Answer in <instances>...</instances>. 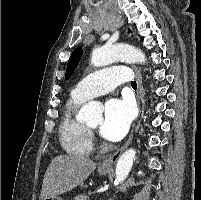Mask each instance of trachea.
<instances>
[{
	"mask_svg": "<svg viewBox=\"0 0 201 200\" xmlns=\"http://www.w3.org/2000/svg\"><path fill=\"white\" fill-rule=\"evenodd\" d=\"M131 86H132L134 89H136V88H137V83H136V81H132V82H131Z\"/></svg>",
	"mask_w": 201,
	"mask_h": 200,
	"instance_id": "3493384b",
	"label": "trachea"
}]
</instances>
